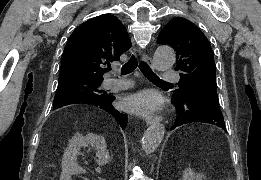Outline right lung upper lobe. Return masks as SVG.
Returning <instances> with one entry per match:
<instances>
[{
	"label": "right lung upper lobe",
	"instance_id": "cb5924a9",
	"mask_svg": "<svg viewBox=\"0 0 261 180\" xmlns=\"http://www.w3.org/2000/svg\"><path fill=\"white\" fill-rule=\"evenodd\" d=\"M131 47L126 28L113 15L82 23L70 36L61 60L59 81L103 80V65Z\"/></svg>",
	"mask_w": 261,
	"mask_h": 180
}]
</instances>
